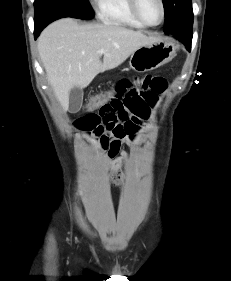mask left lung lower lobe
<instances>
[{
    "label": "left lung lower lobe",
    "instance_id": "0a47b994",
    "mask_svg": "<svg viewBox=\"0 0 231 281\" xmlns=\"http://www.w3.org/2000/svg\"><path fill=\"white\" fill-rule=\"evenodd\" d=\"M192 26L191 24H186L180 26L176 29H173L170 34L177 36L186 46L187 49L190 50L191 48V41H192Z\"/></svg>",
    "mask_w": 231,
    "mask_h": 281
}]
</instances>
